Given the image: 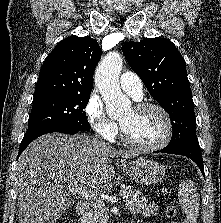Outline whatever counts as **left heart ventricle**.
I'll list each match as a JSON object with an SVG mask.
<instances>
[{
  "mask_svg": "<svg viewBox=\"0 0 221 223\" xmlns=\"http://www.w3.org/2000/svg\"><path fill=\"white\" fill-rule=\"evenodd\" d=\"M127 136L134 142L152 145L159 142L165 134V121L155 110H127L119 119Z\"/></svg>",
  "mask_w": 221,
  "mask_h": 223,
  "instance_id": "b2bd125f",
  "label": "left heart ventricle"
}]
</instances>
